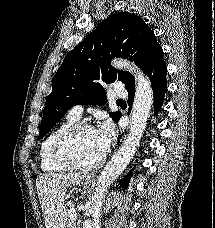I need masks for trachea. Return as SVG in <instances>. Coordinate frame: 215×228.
<instances>
[{"mask_svg":"<svg viewBox=\"0 0 215 228\" xmlns=\"http://www.w3.org/2000/svg\"><path fill=\"white\" fill-rule=\"evenodd\" d=\"M117 104H126L124 100H117Z\"/></svg>","mask_w":215,"mask_h":228,"instance_id":"3493384b","label":"trachea"}]
</instances>
